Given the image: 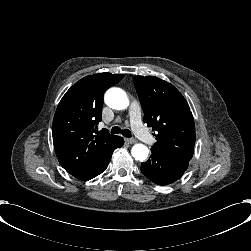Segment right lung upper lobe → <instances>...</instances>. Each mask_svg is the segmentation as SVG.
Listing matches in <instances>:
<instances>
[{"label": "right lung upper lobe", "instance_id": "obj_1", "mask_svg": "<svg viewBox=\"0 0 251 251\" xmlns=\"http://www.w3.org/2000/svg\"><path fill=\"white\" fill-rule=\"evenodd\" d=\"M124 75L108 72L82 78L61 99L53 119L54 149L61 166L82 180L100 169L123 138L98 132L103 95Z\"/></svg>", "mask_w": 251, "mask_h": 251}]
</instances>
